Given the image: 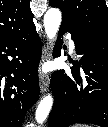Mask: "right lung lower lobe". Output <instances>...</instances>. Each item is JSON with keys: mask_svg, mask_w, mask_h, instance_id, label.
Masks as SVG:
<instances>
[{"mask_svg": "<svg viewBox=\"0 0 108 127\" xmlns=\"http://www.w3.org/2000/svg\"><path fill=\"white\" fill-rule=\"evenodd\" d=\"M41 54L35 26L0 38V126L21 127L27 110L37 101Z\"/></svg>", "mask_w": 108, "mask_h": 127, "instance_id": "1", "label": "right lung lower lobe"}]
</instances>
